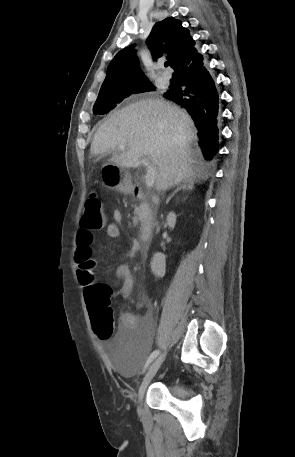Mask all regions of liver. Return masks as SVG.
Wrapping results in <instances>:
<instances>
[{
    "instance_id": "6515ba94",
    "label": "liver",
    "mask_w": 295,
    "mask_h": 457,
    "mask_svg": "<svg viewBox=\"0 0 295 457\" xmlns=\"http://www.w3.org/2000/svg\"><path fill=\"white\" fill-rule=\"evenodd\" d=\"M197 131L190 116L160 99H143L116 111L98 128L90 152L110 154L109 161L123 168H137L141 157L157 167L155 186L165 191L183 181L208 178ZM123 143L120 153L117 147Z\"/></svg>"
}]
</instances>
